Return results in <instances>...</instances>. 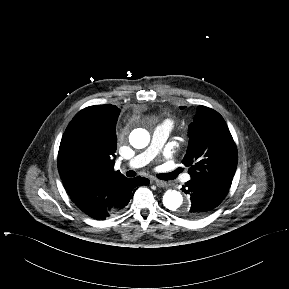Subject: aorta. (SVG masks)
I'll return each instance as SVG.
<instances>
[{
  "instance_id": "obj_1",
  "label": "aorta",
  "mask_w": 289,
  "mask_h": 289,
  "mask_svg": "<svg viewBox=\"0 0 289 289\" xmlns=\"http://www.w3.org/2000/svg\"><path fill=\"white\" fill-rule=\"evenodd\" d=\"M150 141V135L145 129H137L130 137V144L137 149L145 148ZM163 205L171 210L187 211L188 203L184 204L183 197L179 191L167 190L163 196Z\"/></svg>"
}]
</instances>
